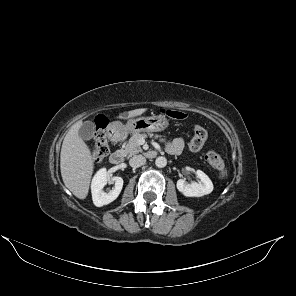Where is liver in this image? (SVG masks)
Wrapping results in <instances>:
<instances>
[{
    "mask_svg": "<svg viewBox=\"0 0 296 296\" xmlns=\"http://www.w3.org/2000/svg\"><path fill=\"white\" fill-rule=\"evenodd\" d=\"M146 108L131 110L127 117L142 115ZM82 121L73 124L66 134L61 148L60 169L65 186L79 199H85L89 192V185L94 170V156L90 148L79 136L78 131Z\"/></svg>",
    "mask_w": 296,
    "mask_h": 296,
    "instance_id": "1",
    "label": "liver"
}]
</instances>
